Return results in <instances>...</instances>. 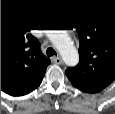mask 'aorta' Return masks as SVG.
<instances>
[{
    "instance_id": "762f6f07",
    "label": "aorta",
    "mask_w": 115,
    "mask_h": 114,
    "mask_svg": "<svg viewBox=\"0 0 115 114\" xmlns=\"http://www.w3.org/2000/svg\"><path fill=\"white\" fill-rule=\"evenodd\" d=\"M50 39L59 50L64 62L69 66H75L79 62V54L74 47L67 31H53L50 33Z\"/></svg>"
}]
</instances>
